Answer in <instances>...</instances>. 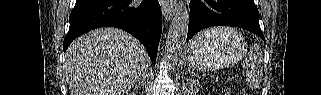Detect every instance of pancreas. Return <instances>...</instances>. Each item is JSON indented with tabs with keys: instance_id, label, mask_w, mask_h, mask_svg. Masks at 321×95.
Listing matches in <instances>:
<instances>
[{
	"instance_id": "1",
	"label": "pancreas",
	"mask_w": 321,
	"mask_h": 95,
	"mask_svg": "<svg viewBox=\"0 0 321 95\" xmlns=\"http://www.w3.org/2000/svg\"><path fill=\"white\" fill-rule=\"evenodd\" d=\"M188 83H189V86H190V89H191V93L193 95H196V93L198 92V90L200 88L199 82L197 80L190 79V80H188Z\"/></svg>"
}]
</instances>
